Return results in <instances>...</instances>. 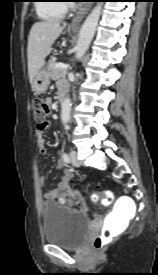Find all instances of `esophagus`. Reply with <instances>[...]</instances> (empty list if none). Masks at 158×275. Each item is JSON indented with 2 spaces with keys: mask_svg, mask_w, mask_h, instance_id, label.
<instances>
[{
  "mask_svg": "<svg viewBox=\"0 0 158 275\" xmlns=\"http://www.w3.org/2000/svg\"><path fill=\"white\" fill-rule=\"evenodd\" d=\"M92 1H89L87 3H85L76 13V15L74 16L71 24H70V28L72 30H78L81 22L83 21L84 17L86 16V14L89 12V10L91 9V7L93 6V4L91 3Z\"/></svg>",
  "mask_w": 158,
  "mask_h": 275,
  "instance_id": "obj_1",
  "label": "esophagus"
}]
</instances>
